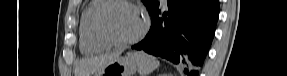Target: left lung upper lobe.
I'll list each match as a JSON object with an SVG mask.
<instances>
[{"label": "left lung upper lobe", "mask_w": 287, "mask_h": 76, "mask_svg": "<svg viewBox=\"0 0 287 76\" xmlns=\"http://www.w3.org/2000/svg\"><path fill=\"white\" fill-rule=\"evenodd\" d=\"M142 2L145 4L149 12H151L153 8L159 3L158 0H142Z\"/></svg>", "instance_id": "5c2ea615"}]
</instances>
